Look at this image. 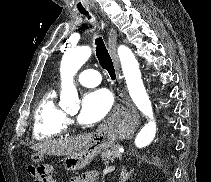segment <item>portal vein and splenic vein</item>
Listing matches in <instances>:
<instances>
[{
	"mask_svg": "<svg viewBox=\"0 0 211 182\" xmlns=\"http://www.w3.org/2000/svg\"><path fill=\"white\" fill-rule=\"evenodd\" d=\"M114 169H115V167H108V168H105V169L103 170V174L111 173V172L114 171Z\"/></svg>",
	"mask_w": 211,
	"mask_h": 182,
	"instance_id": "obj_1",
	"label": "portal vein and splenic vein"
}]
</instances>
